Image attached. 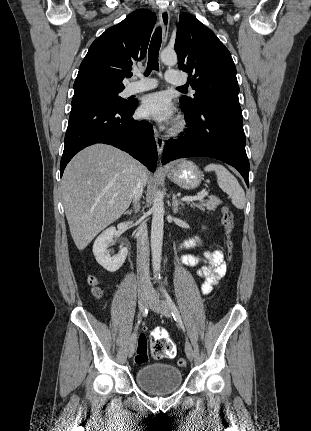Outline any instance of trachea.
<instances>
[{
    "instance_id": "trachea-1",
    "label": "trachea",
    "mask_w": 311,
    "mask_h": 431,
    "mask_svg": "<svg viewBox=\"0 0 311 431\" xmlns=\"http://www.w3.org/2000/svg\"><path fill=\"white\" fill-rule=\"evenodd\" d=\"M161 40H162V29L161 27H157V29L155 30L152 36L149 50H148V65L144 74L145 76H148L152 70L158 71L159 69L158 55L161 47ZM178 89L187 91V87H178Z\"/></svg>"
}]
</instances>
